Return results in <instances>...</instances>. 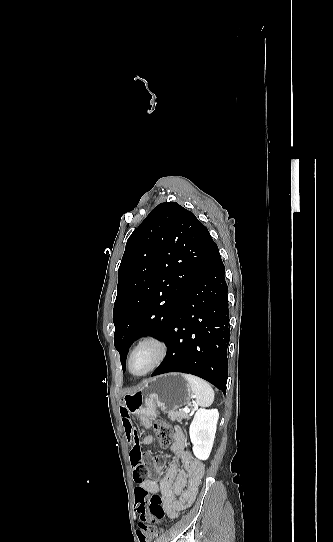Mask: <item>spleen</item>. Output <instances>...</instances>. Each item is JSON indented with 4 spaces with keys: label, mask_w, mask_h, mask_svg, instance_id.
<instances>
[{
    "label": "spleen",
    "mask_w": 333,
    "mask_h": 542,
    "mask_svg": "<svg viewBox=\"0 0 333 542\" xmlns=\"http://www.w3.org/2000/svg\"><path fill=\"white\" fill-rule=\"evenodd\" d=\"M184 380L188 382L192 394L195 396V402L202 408H209L214 402V392L204 380L191 376V374H182Z\"/></svg>",
    "instance_id": "spleen-1"
}]
</instances>
